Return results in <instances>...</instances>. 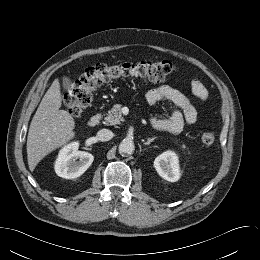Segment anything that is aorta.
<instances>
[{
  "mask_svg": "<svg viewBox=\"0 0 260 260\" xmlns=\"http://www.w3.org/2000/svg\"><path fill=\"white\" fill-rule=\"evenodd\" d=\"M135 150L133 141L124 139L121 141L118 147V151L121 155H131Z\"/></svg>",
  "mask_w": 260,
  "mask_h": 260,
  "instance_id": "aorta-1",
  "label": "aorta"
}]
</instances>
